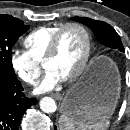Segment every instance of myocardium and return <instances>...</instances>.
<instances>
[{
  "instance_id": "f54148a6",
  "label": "myocardium",
  "mask_w": 130,
  "mask_h": 130,
  "mask_svg": "<svg viewBox=\"0 0 130 130\" xmlns=\"http://www.w3.org/2000/svg\"><path fill=\"white\" fill-rule=\"evenodd\" d=\"M68 28L78 29L84 35V38H85V50H84V54H83V57L81 59L79 66L71 75H69L67 78L63 79L66 82H73V81L77 80L85 71L86 66L90 59L91 49H92L91 34H90L89 30L81 23L68 22V23L63 24L58 29V31L54 34V36L51 39L47 53L43 59V64L45 62L49 61L50 59H52L57 54L60 38H61L63 32Z\"/></svg>"
}]
</instances>
